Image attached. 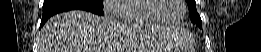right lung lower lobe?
Wrapping results in <instances>:
<instances>
[{
    "label": "right lung lower lobe",
    "instance_id": "98d812e1",
    "mask_svg": "<svg viewBox=\"0 0 261 52\" xmlns=\"http://www.w3.org/2000/svg\"><path fill=\"white\" fill-rule=\"evenodd\" d=\"M74 9L86 10L97 15H104L102 9L82 4L77 0H44L40 28L45 24L50 16Z\"/></svg>",
    "mask_w": 261,
    "mask_h": 52
}]
</instances>
